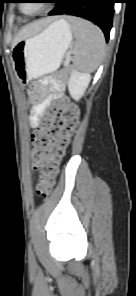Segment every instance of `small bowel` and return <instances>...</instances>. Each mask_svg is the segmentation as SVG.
Here are the masks:
<instances>
[{
	"mask_svg": "<svg viewBox=\"0 0 136 296\" xmlns=\"http://www.w3.org/2000/svg\"><path fill=\"white\" fill-rule=\"evenodd\" d=\"M64 86L60 83L43 79L31 86V102L33 104L29 118L30 127L36 129L40 125L45 109L55 100L61 99Z\"/></svg>",
	"mask_w": 136,
	"mask_h": 296,
	"instance_id": "c3829d8e",
	"label": "small bowel"
}]
</instances>
